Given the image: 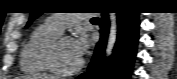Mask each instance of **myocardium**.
Segmentation results:
<instances>
[{"label": "myocardium", "instance_id": "myocardium-1", "mask_svg": "<svg viewBox=\"0 0 177 79\" xmlns=\"http://www.w3.org/2000/svg\"><path fill=\"white\" fill-rule=\"evenodd\" d=\"M71 39L69 36H58L57 38L53 39L51 42L48 43L44 50V61L47 68L54 74L60 76H71L79 72L83 67V60L81 59L79 64L70 70L61 69L57 63L56 52L59 44L65 40Z\"/></svg>", "mask_w": 177, "mask_h": 79}]
</instances>
